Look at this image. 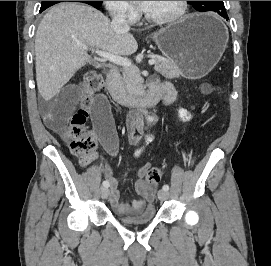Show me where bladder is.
Wrapping results in <instances>:
<instances>
[{
    "label": "bladder",
    "mask_w": 271,
    "mask_h": 266,
    "mask_svg": "<svg viewBox=\"0 0 271 266\" xmlns=\"http://www.w3.org/2000/svg\"><path fill=\"white\" fill-rule=\"evenodd\" d=\"M156 216L154 207H147L135 216L116 215V219L126 225H145L149 224Z\"/></svg>",
    "instance_id": "bladder-1"
}]
</instances>
